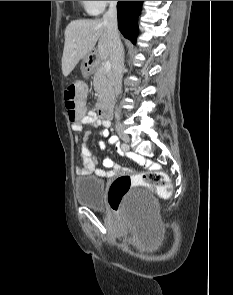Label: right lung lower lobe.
Instances as JSON below:
<instances>
[{"mask_svg":"<svg viewBox=\"0 0 233 295\" xmlns=\"http://www.w3.org/2000/svg\"><path fill=\"white\" fill-rule=\"evenodd\" d=\"M142 1H118V28L120 32L135 44L138 35V16Z\"/></svg>","mask_w":233,"mask_h":295,"instance_id":"98d812e1","label":"right lung lower lobe"}]
</instances>
